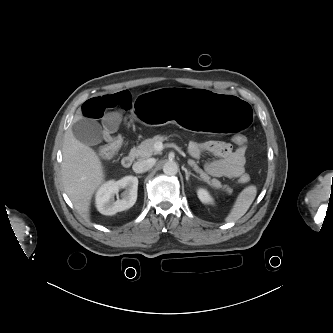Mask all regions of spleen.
<instances>
[{
	"instance_id": "1",
	"label": "spleen",
	"mask_w": 333,
	"mask_h": 333,
	"mask_svg": "<svg viewBox=\"0 0 333 333\" xmlns=\"http://www.w3.org/2000/svg\"><path fill=\"white\" fill-rule=\"evenodd\" d=\"M257 194L254 185L245 187L237 196L231 212L226 217V222H235L240 219L249 209Z\"/></svg>"
}]
</instances>
